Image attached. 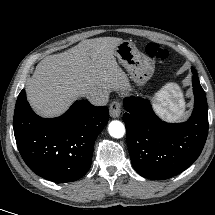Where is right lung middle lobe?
<instances>
[{"label":"right lung middle lobe","mask_w":215,"mask_h":215,"mask_svg":"<svg viewBox=\"0 0 215 215\" xmlns=\"http://www.w3.org/2000/svg\"><path fill=\"white\" fill-rule=\"evenodd\" d=\"M22 107L23 106L19 102H16L14 115L17 114L22 109Z\"/></svg>","instance_id":"1"}]
</instances>
